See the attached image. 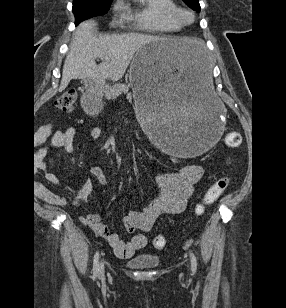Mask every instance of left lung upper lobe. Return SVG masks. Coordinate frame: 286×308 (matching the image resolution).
I'll use <instances>...</instances> for the list:
<instances>
[{
	"label": "left lung upper lobe",
	"instance_id": "left-lung-upper-lobe-1",
	"mask_svg": "<svg viewBox=\"0 0 286 308\" xmlns=\"http://www.w3.org/2000/svg\"><path fill=\"white\" fill-rule=\"evenodd\" d=\"M190 8L200 12V4L198 0H183Z\"/></svg>",
	"mask_w": 286,
	"mask_h": 308
}]
</instances>
